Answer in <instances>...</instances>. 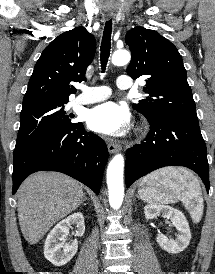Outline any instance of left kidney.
<instances>
[{"label":"left kidney","instance_id":"left-kidney-1","mask_svg":"<svg viewBox=\"0 0 215 274\" xmlns=\"http://www.w3.org/2000/svg\"><path fill=\"white\" fill-rule=\"evenodd\" d=\"M144 214L147 220L162 215L170 219L172 225L176 228L178 233L175 235V239H171L162 233L157 236V242L162 249L168 253L177 254L189 245L191 232L189 224L181 211L167 205L149 204L145 206Z\"/></svg>","mask_w":215,"mask_h":274}]
</instances>
